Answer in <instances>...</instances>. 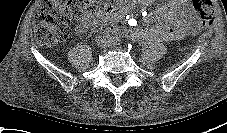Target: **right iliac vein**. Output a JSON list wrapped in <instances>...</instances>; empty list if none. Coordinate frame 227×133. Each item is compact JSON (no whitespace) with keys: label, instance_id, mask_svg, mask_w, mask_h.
Here are the masks:
<instances>
[{"label":"right iliac vein","instance_id":"63e3f726","mask_svg":"<svg viewBox=\"0 0 227 133\" xmlns=\"http://www.w3.org/2000/svg\"><path fill=\"white\" fill-rule=\"evenodd\" d=\"M111 40L108 37H100L97 39V45L100 47L106 46Z\"/></svg>","mask_w":227,"mask_h":133}]
</instances>
